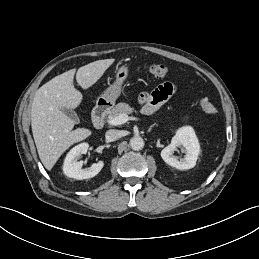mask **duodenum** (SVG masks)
Listing matches in <instances>:
<instances>
[{
	"label": "duodenum",
	"mask_w": 259,
	"mask_h": 259,
	"mask_svg": "<svg viewBox=\"0 0 259 259\" xmlns=\"http://www.w3.org/2000/svg\"><path fill=\"white\" fill-rule=\"evenodd\" d=\"M108 110H109V106L106 103L99 104L94 108L92 119H93L94 126L96 128H101L103 126Z\"/></svg>",
	"instance_id": "410a0bca"
}]
</instances>
